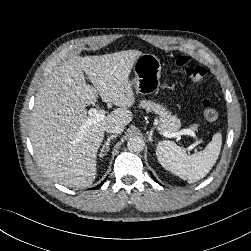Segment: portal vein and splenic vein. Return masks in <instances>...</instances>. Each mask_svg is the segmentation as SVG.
Masks as SVG:
<instances>
[{
	"label": "portal vein and splenic vein",
	"instance_id": "1",
	"mask_svg": "<svg viewBox=\"0 0 251 251\" xmlns=\"http://www.w3.org/2000/svg\"><path fill=\"white\" fill-rule=\"evenodd\" d=\"M88 115L90 117L84 123L85 127H88V126H90L92 124H95V123L103 120L104 117H105L104 112L102 110H98V109H95V108L90 109L88 111ZM162 134H163V136L168 137V138H178L181 135H190V136L195 137V133L191 129H183V130H181L179 132H176V133H171V132H168V131H164V132H162ZM196 145H197V142L194 144V146H196Z\"/></svg>",
	"mask_w": 251,
	"mask_h": 251
}]
</instances>
